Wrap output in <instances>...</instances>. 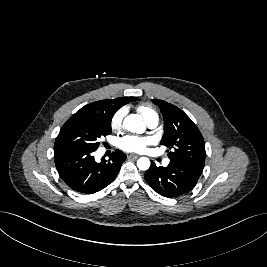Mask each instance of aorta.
I'll return each instance as SVG.
<instances>
[{"label":"aorta","mask_w":267,"mask_h":267,"mask_svg":"<svg viewBox=\"0 0 267 267\" xmlns=\"http://www.w3.org/2000/svg\"><path fill=\"white\" fill-rule=\"evenodd\" d=\"M123 125L128 131L133 133H143L146 128L145 123L137 114H130L125 117ZM137 167L142 171L148 170L150 167V160L147 157L139 158L137 160Z\"/></svg>","instance_id":"obj_1"}]
</instances>
